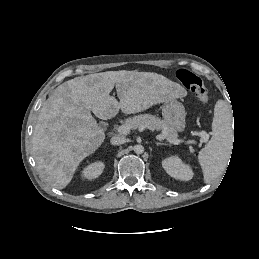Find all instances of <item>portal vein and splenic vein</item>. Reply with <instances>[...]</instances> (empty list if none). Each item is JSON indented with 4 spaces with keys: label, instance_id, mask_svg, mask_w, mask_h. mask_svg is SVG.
<instances>
[{
    "label": "portal vein and splenic vein",
    "instance_id": "obj_1",
    "mask_svg": "<svg viewBox=\"0 0 259 259\" xmlns=\"http://www.w3.org/2000/svg\"><path fill=\"white\" fill-rule=\"evenodd\" d=\"M130 130H131V127L129 125H122V126H119L117 129V131L123 135H127L130 132ZM197 135H199L202 138V141L204 143H206L209 139V134H207L205 131L199 132ZM157 139H163V137L158 135ZM169 142L172 144H175V145H178L183 142L188 143V144H195L194 140L184 141V140H180V139H170Z\"/></svg>",
    "mask_w": 259,
    "mask_h": 259
}]
</instances>
